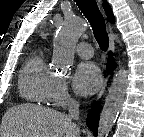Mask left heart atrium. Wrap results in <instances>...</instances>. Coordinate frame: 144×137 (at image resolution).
Segmentation results:
<instances>
[{
  "mask_svg": "<svg viewBox=\"0 0 144 137\" xmlns=\"http://www.w3.org/2000/svg\"><path fill=\"white\" fill-rule=\"evenodd\" d=\"M73 83L77 93L84 96L94 94L102 84V75L98 66L92 62L79 64Z\"/></svg>",
  "mask_w": 144,
  "mask_h": 137,
  "instance_id": "39dd6f15",
  "label": "left heart atrium"
}]
</instances>
